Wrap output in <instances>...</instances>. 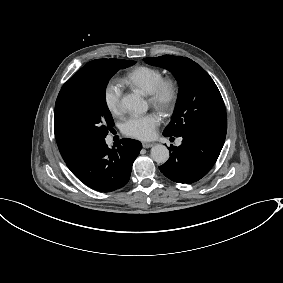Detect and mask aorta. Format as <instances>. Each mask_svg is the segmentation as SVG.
<instances>
[{
	"label": "aorta",
	"mask_w": 283,
	"mask_h": 283,
	"mask_svg": "<svg viewBox=\"0 0 283 283\" xmlns=\"http://www.w3.org/2000/svg\"><path fill=\"white\" fill-rule=\"evenodd\" d=\"M121 103L123 107L137 114H142L148 109L145 100L137 94L125 95ZM150 154L151 158L157 163H165L169 159V150L162 144L153 146Z\"/></svg>",
	"instance_id": "762f6f07"
}]
</instances>
